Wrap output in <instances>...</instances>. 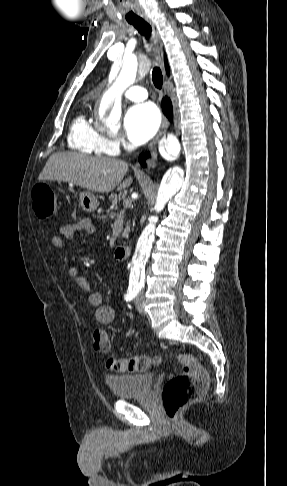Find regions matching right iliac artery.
<instances>
[{
    "label": "right iliac artery",
    "instance_id": "82829eb1",
    "mask_svg": "<svg viewBox=\"0 0 287 486\" xmlns=\"http://www.w3.org/2000/svg\"><path fill=\"white\" fill-rule=\"evenodd\" d=\"M140 291V288L138 287H130L129 290H128V293L127 295L125 296L126 300L130 301L132 300L133 298H135V296H137V294L139 293Z\"/></svg>",
    "mask_w": 287,
    "mask_h": 486
}]
</instances>
